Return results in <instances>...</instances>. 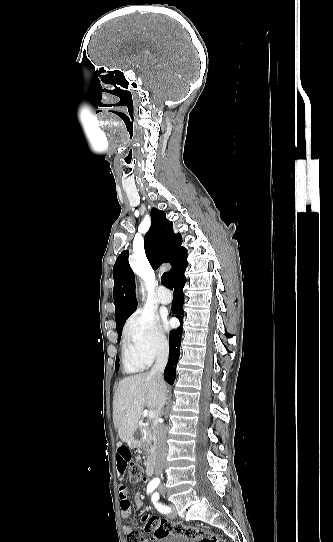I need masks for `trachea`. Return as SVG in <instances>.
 <instances>
[{
    "label": "trachea",
    "instance_id": "obj_1",
    "mask_svg": "<svg viewBox=\"0 0 333 542\" xmlns=\"http://www.w3.org/2000/svg\"><path fill=\"white\" fill-rule=\"evenodd\" d=\"M161 283H162L163 285H165V287H168V288H171V289L173 288V287H172V283H171L170 275H169V273H167V272L164 273V274L162 275V277H161Z\"/></svg>",
    "mask_w": 333,
    "mask_h": 542
}]
</instances>
